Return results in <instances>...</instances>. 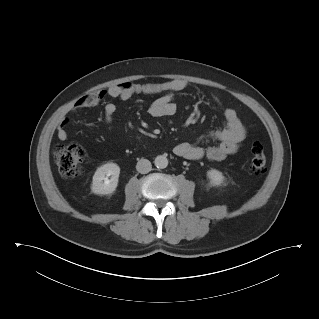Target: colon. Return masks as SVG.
Instances as JSON below:
<instances>
[{
    "label": "colon",
    "mask_w": 319,
    "mask_h": 319,
    "mask_svg": "<svg viewBox=\"0 0 319 319\" xmlns=\"http://www.w3.org/2000/svg\"><path fill=\"white\" fill-rule=\"evenodd\" d=\"M54 159L60 174L65 178H74L80 174L84 161V151L76 144H59L53 151ZM249 169L261 174L266 169V155L260 144L251 147Z\"/></svg>",
    "instance_id": "colon-1"
}]
</instances>
